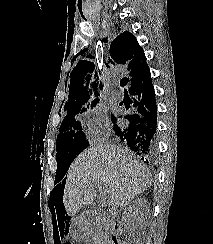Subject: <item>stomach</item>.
Returning a JSON list of instances; mask_svg holds the SVG:
<instances>
[{
    "label": "stomach",
    "mask_w": 213,
    "mask_h": 244,
    "mask_svg": "<svg viewBox=\"0 0 213 244\" xmlns=\"http://www.w3.org/2000/svg\"><path fill=\"white\" fill-rule=\"evenodd\" d=\"M71 234L76 239H84L86 237V226L84 225V221H73Z\"/></svg>",
    "instance_id": "stomach-1"
}]
</instances>
